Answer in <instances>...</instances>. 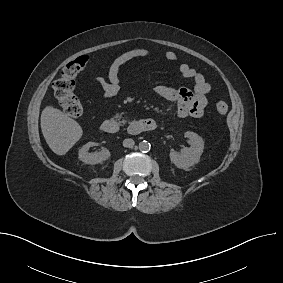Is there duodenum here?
Segmentation results:
<instances>
[{
  "mask_svg": "<svg viewBox=\"0 0 283 283\" xmlns=\"http://www.w3.org/2000/svg\"><path fill=\"white\" fill-rule=\"evenodd\" d=\"M157 128V123L152 119H139L132 121L128 126V132L137 135L143 132H150ZM101 130L108 134L118 133L120 126L114 119H106L101 123Z\"/></svg>",
  "mask_w": 283,
  "mask_h": 283,
  "instance_id": "duodenum-1",
  "label": "duodenum"
}]
</instances>
